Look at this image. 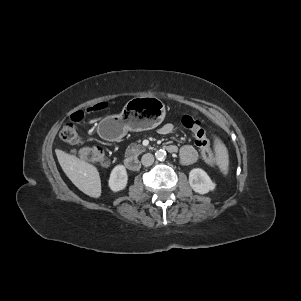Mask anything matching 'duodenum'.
I'll return each mask as SVG.
<instances>
[{
	"label": "duodenum",
	"instance_id": "obj_1",
	"mask_svg": "<svg viewBox=\"0 0 301 301\" xmlns=\"http://www.w3.org/2000/svg\"><path fill=\"white\" fill-rule=\"evenodd\" d=\"M165 149L170 152V153H175L177 152V147L174 145H168L165 146ZM125 166L129 169V170H137L139 168V162L136 158L134 157H128L125 159L124 162Z\"/></svg>",
	"mask_w": 301,
	"mask_h": 301
}]
</instances>
